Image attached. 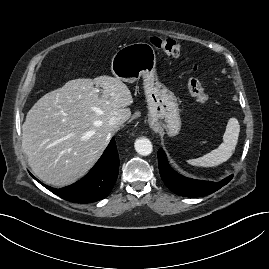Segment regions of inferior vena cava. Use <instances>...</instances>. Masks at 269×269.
<instances>
[{"label": "inferior vena cava", "instance_id": "inferior-vena-cava-1", "mask_svg": "<svg viewBox=\"0 0 269 269\" xmlns=\"http://www.w3.org/2000/svg\"><path fill=\"white\" fill-rule=\"evenodd\" d=\"M109 125L113 128H117L119 127L122 123H123V120L121 117L119 116H113L110 118V120L108 121Z\"/></svg>", "mask_w": 269, "mask_h": 269}]
</instances>
